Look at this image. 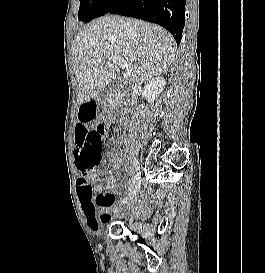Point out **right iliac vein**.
I'll return each mask as SVG.
<instances>
[{
	"instance_id": "63e3f726",
	"label": "right iliac vein",
	"mask_w": 265,
	"mask_h": 273,
	"mask_svg": "<svg viewBox=\"0 0 265 273\" xmlns=\"http://www.w3.org/2000/svg\"><path fill=\"white\" fill-rule=\"evenodd\" d=\"M139 173H137V175L135 176L134 182L131 186L130 192L128 194V196L126 197V201L130 200L134 197V195L136 194V192L138 191L139 188Z\"/></svg>"
}]
</instances>
